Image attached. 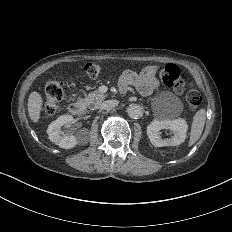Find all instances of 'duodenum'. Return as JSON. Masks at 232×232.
<instances>
[{
  "instance_id": "1",
  "label": "duodenum",
  "mask_w": 232,
  "mask_h": 232,
  "mask_svg": "<svg viewBox=\"0 0 232 232\" xmlns=\"http://www.w3.org/2000/svg\"><path fill=\"white\" fill-rule=\"evenodd\" d=\"M69 111L72 115L81 116L84 112V106L79 101H74L70 104Z\"/></svg>"
}]
</instances>
